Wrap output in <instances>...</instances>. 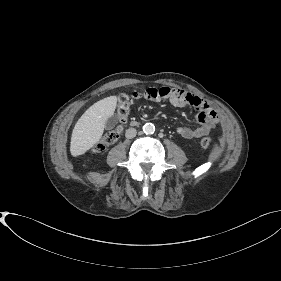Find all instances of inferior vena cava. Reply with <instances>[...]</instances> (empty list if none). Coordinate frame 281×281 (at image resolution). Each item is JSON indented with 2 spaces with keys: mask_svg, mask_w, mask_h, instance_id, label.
<instances>
[{
  "mask_svg": "<svg viewBox=\"0 0 281 281\" xmlns=\"http://www.w3.org/2000/svg\"><path fill=\"white\" fill-rule=\"evenodd\" d=\"M136 134H137V131L135 128H129L125 132V136L128 139L134 138L136 136Z\"/></svg>",
  "mask_w": 281,
  "mask_h": 281,
  "instance_id": "obj_1",
  "label": "inferior vena cava"
}]
</instances>
